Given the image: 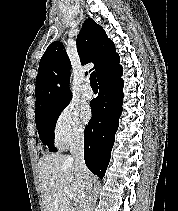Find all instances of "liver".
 <instances>
[{
    "label": "liver",
    "instance_id": "1",
    "mask_svg": "<svg viewBox=\"0 0 178 211\" xmlns=\"http://www.w3.org/2000/svg\"><path fill=\"white\" fill-rule=\"evenodd\" d=\"M38 171L44 211H75L64 189L81 205L83 179L71 156L47 154L39 159Z\"/></svg>",
    "mask_w": 178,
    "mask_h": 211
}]
</instances>
